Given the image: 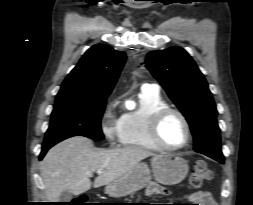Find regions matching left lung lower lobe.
Listing matches in <instances>:
<instances>
[{
	"label": "left lung lower lobe",
	"instance_id": "1",
	"mask_svg": "<svg viewBox=\"0 0 253 205\" xmlns=\"http://www.w3.org/2000/svg\"><path fill=\"white\" fill-rule=\"evenodd\" d=\"M218 162H220V163H224V161H223V160H220V161H218Z\"/></svg>",
	"mask_w": 253,
	"mask_h": 205
}]
</instances>
